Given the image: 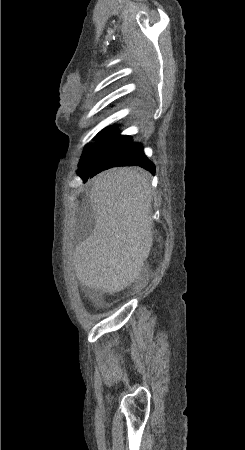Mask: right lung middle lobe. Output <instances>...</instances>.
Wrapping results in <instances>:
<instances>
[{
  "label": "right lung middle lobe",
  "mask_w": 245,
  "mask_h": 450,
  "mask_svg": "<svg viewBox=\"0 0 245 450\" xmlns=\"http://www.w3.org/2000/svg\"><path fill=\"white\" fill-rule=\"evenodd\" d=\"M108 132H110V127L105 128L97 135L100 143L96 148L83 152L78 172L93 168L107 153L116 152L131 141L129 136L120 135L119 131H113L109 135Z\"/></svg>",
  "instance_id": "obj_1"
}]
</instances>
